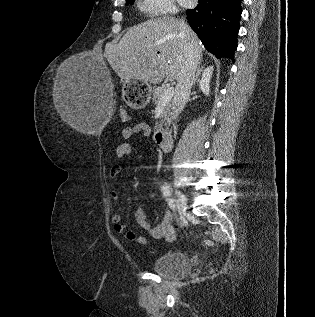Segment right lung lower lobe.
<instances>
[{"instance_id":"1","label":"right lung lower lobe","mask_w":315,"mask_h":317,"mask_svg":"<svg viewBox=\"0 0 315 317\" xmlns=\"http://www.w3.org/2000/svg\"><path fill=\"white\" fill-rule=\"evenodd\" d=\"M241 12V0H198L196 8L187 10V18L209 52L233 59Z\"/></svg>"}]
</instances>
